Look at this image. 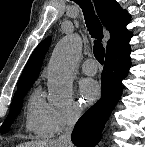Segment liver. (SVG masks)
<instances>
[{"label": "liver", "instance_id": "obj_1", "mask_svg": "<svg viewBox=\"0 0 145 147\" xmlns=\"http://www.w3.org/2000/svg\"><path fill=\"white\" fill-rule=\"evenodd\" d=\"M18 147H62L58 144L57 140H42L25 142L18 145Z\"/></svg>", "mask_w": 145, "mask_h": 147}]
</instances>
